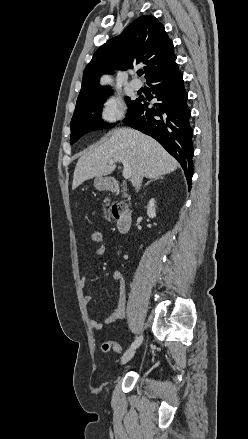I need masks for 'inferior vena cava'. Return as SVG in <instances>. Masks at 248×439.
Returning <instances> with one entry per match:
<instances>
[{"label": "inferior vena cava", "instance_id": "602c4592", "mask_svg": "<svg viewBox=\"0 0 248 439\" xmlns=\"http://www.w3.org/2000/svg\"><path fill=\"white\" fill-rule=\"evenodd\" d=\"M142 179H143V176L140 177V178L136 181V183H135V185H134L137 191L140 189V186H141V183H142Z\"/></svg>", "mask_w": 248, "mask_h": 439}]
</instances>
